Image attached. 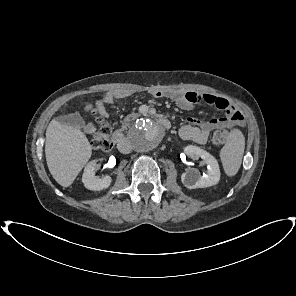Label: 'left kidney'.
<instances>
[{
  "instance_id": "obj_1",
  "label": "left kidney",
  "mask_w": 296,
  "mask_h": 296,
  "mask_svg": "<svg viewBox=\"0 0 296 296\" xmlns=\"http://www.w3.org/2000/svg\"><path fill=\"white\" fill-rule=\"evenodd\" d=\"M184 152L191 158L201 157L207 164V171L204 175H200L198 171L188 170L181 175L183 185L188 189L206 188L217 184L220 180V169L218 162L214 156L200 147L188 145L184 148Z\"/></svg>"
}]
</instances>
